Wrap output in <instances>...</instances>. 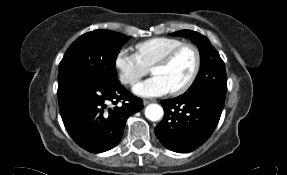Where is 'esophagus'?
<instances>
[{"label":"esophagus","instance_id":"obj_1","mask_svg":"<svg viewBox=\"0 0 287 175\" xmlns=\"http://www.w3.org/2000/svg\"><path fill=\"white\" fill-rule=\"evenodd\" d=\"M151 102H153L152 99H150V100L144 99V100H143V104H144V105H147V104H149V103H151Z\"/></svg>","mask_w":287,"mask_h":175}]
</instances>
